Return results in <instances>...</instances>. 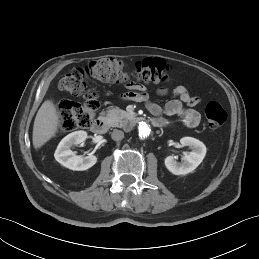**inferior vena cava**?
<instances>
[{
    "label": "inferior vena cava",
    "mask_w": 259,
    "mask_h": 259,
    "mask_svg": "<svg viewBox=\"0 0 259 259\" xmlns=\"http://www.w3.org/2000/svg\"><path fill=\"white\" fill-rule=\"evenodd\" d=\"M111 137L114 141H120L124 138V132L118 129H114Z\"/></svg>",
    "instance_id": "obj_1"
}]
</instances>
